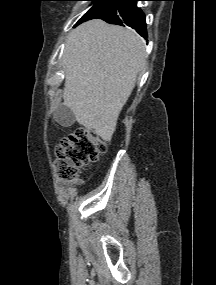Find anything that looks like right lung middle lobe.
Here are the masks:
<instances>
[{
	"mask_svg": "<svg viewBox=\"0 0 216 285\" xmlns=\"http://www.w3.org/2000/svg\"><path fill=\"white\" fill-rule=\"evenodd\" d=\"M89 1L95 2V4L82 16V18L78 21V23H81L83 21H86L103 13L104 11L113 7L120 0H89Z\"/></svg>",
	"mask_w": 216,
	"mask_h": 285,
	"instance_id": "dd1d6c3e",
	"label": "right lung middle lobe"
}]
</instances>
